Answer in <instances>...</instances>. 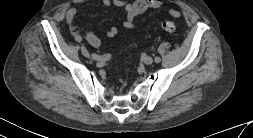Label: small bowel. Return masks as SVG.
<instances>
[{"label": "small bowel", "mask_w": 253, "mask_h": 138, "mask_svg": "<svg viewBox=\"0 0 253 138\" xmlns=\"http://www.w3.org/2000/svg\"><path fill=\"white\" fill-rule=\"evenodd\" d=\"M102 3L105 6H114L125 10L126 19L123 22V25L127 29H134L136 27L135 19L137 16L143 14L148 9H159L164 4L163 0H135L134 2H128L125 0H102ZM77 13L78 10L76 8H70L66 12V22L73 32H78L76 25ZM168 14L175 18L181 17V12L173 8L168 9ZM118 33V27L113 26L107 30L106 37L114 38ZM77 38H80V36H77ZM85 38L87 42L95 48L100 47L102 44L101 38L92 31H86Z\"/></svg>", "instance_id": "1"}]
</instances>
